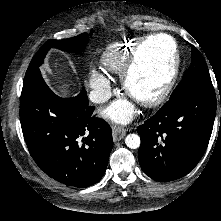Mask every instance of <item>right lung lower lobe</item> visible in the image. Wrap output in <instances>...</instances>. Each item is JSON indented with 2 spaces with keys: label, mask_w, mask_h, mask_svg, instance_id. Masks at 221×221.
Returning a JSON list of instances; mask_svg holds the SVG:
<instances>
[{
  "label": "right lung lower lobe",
  "mask_w": 221,
  "mask_h": 221,
  "mask_svg": "<svg viewBox=\"0 0 221 221\" xmlns=\"http://www.w3.org/2000/svg\"><path fill=\"white\" fill-rule=\"evenodd\" d=\"M93 110L84 89L61 98L40 71L23 83L20 121L29 152L42 171L67 186L93 185L107 168L112 131Z\"/></svg>",
  "instance_id": "obj_1"
}]
</instances>
